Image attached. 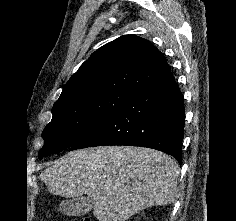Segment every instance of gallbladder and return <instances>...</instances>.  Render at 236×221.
Masks as SVG:
<instances>
[{
	"label": "gallbladder",
	"mask_w": 236,
	"mask_h": 221,
	"mask_svg": "<svg viewBox=\"0 0 236 221\" xmlns=\"http://www.w3.org/2000/svg\"><path fill=\"white\" fill-rule=\"evenodd\" d=\"M93 200L90 197H75L63 200L59 209L61 213L67 216H83L93 209Z\"/></svg>",
	"instance_id": "1"
}]
</instances>
